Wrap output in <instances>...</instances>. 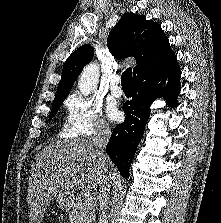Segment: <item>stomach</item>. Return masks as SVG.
Here are the masks:
<instances>
[{"label":"stomach","mask_w":221,"mask_h":223,"mask_svg":"<svg viewBox=\"0 0 221 223\" xmlns=\"http://www.w3.org/2000/svg\"><path fill=\"white\" fill-rule=\"evenodd\" d=\"M74 197L70 192L57 196V203L64 211H69L73 206Z\"/></svg>","instance_id":"stomach-1"}]
</instances>
